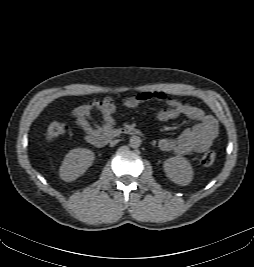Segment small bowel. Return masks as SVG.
Segmentation results:
<instances>
[{
	"label": "small bowel",
	"mask_w": 254,
	"mask_h": 267,
	"mask_svg": "<svg viewBox=\"0 0 254 267\" xmlns=\"http://www.w3.org/2000/svg\"><path fill=\"white\" fill-rule=\"evenodd\" d=\"M149 100L165 103L166 108L157 113L160 121H169L179 116L197 121L193 127L184 130L177 138L161 139L159 147L162 151L186 155L204 152L211 146L218 134V123L212 115L205 113L199 107L183 103L156 91H142L126 96L122 103L127 108H135ZM116 110L115 101L111 97H105L102 100H94L77 106L73 110V116L77 125L88 135H92L109 131L114 127ZM94 111L101 114V125L91 121V114Z\"/></svg>",
	"instance_id": "obj_1"
}]
</instances>
